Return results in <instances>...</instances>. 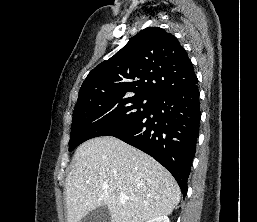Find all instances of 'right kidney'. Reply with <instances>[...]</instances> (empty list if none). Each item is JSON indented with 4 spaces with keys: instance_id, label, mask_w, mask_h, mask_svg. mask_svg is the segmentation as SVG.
I'll list each match as a JSON object with an SVG mask.
<instances>
[{
    "instance_id": "ca27d5eb",
    "label": "right kidney",
    "mask_w": 257,
    "mask_h": 222,
    "mask_svg": "<svg viewBox=\"0 0 257 222\" xmlns=\"http://www.w3.org/2000/svg\"><path fill=\"white\" fill-rule=\"evenodd\" d=\"M146 222H170V220L167 216H159V217H155L153 219H150Z\"/></svg>"
}]
</instances>
